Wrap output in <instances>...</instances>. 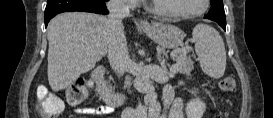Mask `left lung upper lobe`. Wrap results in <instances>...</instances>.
Segmentation results:
<instances>
[{"instance_id": "1", "label": "left lung upper lobe", "mask_w": 273, "mask_h": 118, "mask_svg": "<svg viewBox=\"0 0 273 118\" xmlns=\"http://www.w3.org/2000/svg\"><path fill=\"white\" fill-rule=\"evenodd\" d=\"M205 18L216 21L217 23H226L223 1L211 0L210 11Z\"/></svg>"}]
</instances>
